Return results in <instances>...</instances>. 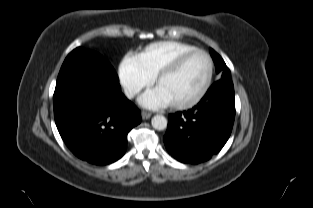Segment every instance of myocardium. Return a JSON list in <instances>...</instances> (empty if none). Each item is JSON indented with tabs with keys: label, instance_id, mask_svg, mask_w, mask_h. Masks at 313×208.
<instances>
[{
	"label": "myocardium",
	"instance_id": "obj_1",
	"mask_svg": "<svg viewBox=\"0 0 313 208\" xmlns=\"http://www.w3.org/2000/svg\"><path fill=\"white\" fill-rule=\"evenodd\" d=\"M195 54H202L206 57L208 61V74L206 81L199 91V93L192 99L185 101V102H180V103H172L170 104L172 108L178 109V110H183V109H188L191 108L195 105H197L208 93L212 81H213V76H214V62L211 56L204 50L202 49H193L187 52L182 53L178 57H176L169 65L161 69L154 78V85L157 86L164 78L167 76L175 73L182 65L183 63L191 56Z\"/></svg>",
	"mask_w": 313,
	"mask_h": 208
}]
</instances>
